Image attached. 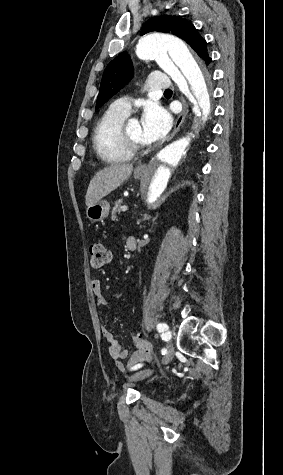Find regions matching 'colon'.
I'll return each mask as SVG.
<instances>
[{"mask_svg": "<svg viewBox=\"0 0 283 475\" xmlns=\"http://www.w3.org/2000/svg\"><path fill=\"white\" fill-rule=\"evenodd\" d=\"M109 259V252L100 242L91 245V265L93 268H99L105 265ZM133 343L137 349L130 356L132 363H141L146 360L150 363L155 361L154 351L150 348V343L136 332L131 333Z\"/></svg>", "mask_w": 283, "mask_h": 475, "instance_id": "colon-1", "label": "colon"}]
</instances>
